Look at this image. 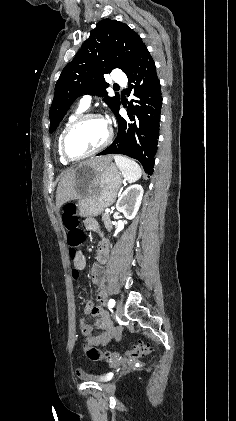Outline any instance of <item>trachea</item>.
I'll use <instances>...</instances> for the list:
<instances>
[{
	"label": "trachea",
	"mask_w": 236,
	"mask_h": 421,
	"mask_svg": "<svg viewBox=\"0 0 236 421\" xmlns=\"http://www.w3.org/2000/svg\"><path fill=\"white\" fill-rule=\"evenodd\" d=\"M114 89L115 90L119 89V85H114Z\"/></svg>",
	"instance_id": "3493384b"
}]
</instances>
